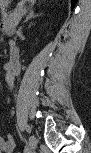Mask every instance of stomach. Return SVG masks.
Masks as SVG:
<instances>
[{
	"label": "stomach",
	"mask_w": 91,
	"mask_h": 153,
	"mask_svg": "<svg viewBox=\"0 0 91 153\" xmlns=\"http://www.w3.org/2000/svg\"><path fill=\"white\" fill-rule=\"evenodd\" d=\"M8 2V0H0V8L3 9L8 4Z\"/></svg>",
	"instance_id": "obj_1"
}]
</instances>
